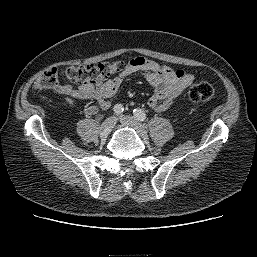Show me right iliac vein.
<instances>
[{
  "mask_svg": "<svg viewBox=\"0 0 257 257\" xmlns=\"http://www.w3.org/2000/svg\"><path fill=\"white\" fill-rule=\"evenodd\" d=\"M116 121L117 120L115 117L107 118L100 126V136L101 137L107 136L114 128Z\"/></svg>",
  "mask_w": 257,
  "mask_h": 257,
  "instance_id": "right-iliac-vein-1",
  "label": "right iliac vein"
}]
</instances>
